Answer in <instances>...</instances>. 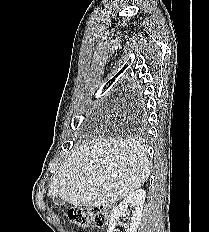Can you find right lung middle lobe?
I'll return each instance as SVG.
<instances>
[{
  "label": "right lung middle lobe",
  "mask_w": 209,
  "mask_h": 232,
  "mask_svg": "<svg viewBox=\"0 0 209 232\" xmlns=\"http://www.w3.org/2000/svg\"><path fill=\"white\" fill-rule=\"evenodd\" d=\"M136 123L138 125H142L144 123V118L142 115H139L136 119H135Z\"/></svg>",
  "instance_id": "1"
}]
</instances>
